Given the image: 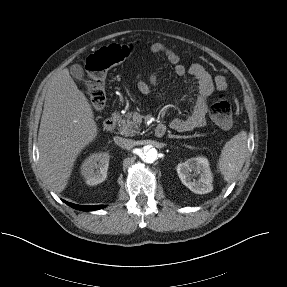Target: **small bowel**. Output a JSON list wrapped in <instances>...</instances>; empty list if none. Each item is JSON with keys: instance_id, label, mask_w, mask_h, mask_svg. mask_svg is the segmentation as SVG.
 <instances>
[{"instance_id": "small-bowel-1", "label": "small bowel", "mask_w": 287, "mask_h": 287, "mask_svg": "<svg viewBox=\"0 0 287 287\" xmlns=\"http://www.w3.org/2000/svg\"><path fill=\"white\" fill-rule=\"evenodd\" d=\"M150 50L154 54H163L166 62L163 67H169L177 76L189 75L195 82L196 95L192 101L190 114L185 118H174L170 122V127L178 132H187L203 127L206 124L207 101L215 89L226 91L228 88L227 80L223 75L214 78L209 71L198 63L185 66L180 56L171 48L163 43L155 42ZM159 83L157 72L150 74L148 82L137 80L136 86L143 95L151 94V86ZM194 89V87H191Z\"/></svg>"}]
</instances>
